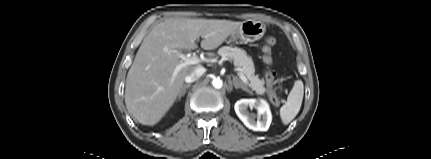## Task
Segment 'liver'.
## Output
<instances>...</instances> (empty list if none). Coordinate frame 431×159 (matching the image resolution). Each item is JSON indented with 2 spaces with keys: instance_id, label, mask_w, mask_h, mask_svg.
<instances>
[{
  "instance_id": "6515ba94",
  "label": "liver",
  "mask_w": 431,
  "mask_h": 159,
  "mask_svg": "<svg viewBox=\"0 0 431 159\" xmlns=\"http://www.w3.org/2000/svg\"><path fill=\"white\" fill-rule=\"evenodd\" d=\"M242 22L216 19H167L157 24L144 38L130 67L125 86V105L132 117L143 125L153 126L174 104L185 77L197 65L183 67L171 84L173 72L181 59L175 51L201 48L214 50Z\"/></svg>"
}]
</instances>
